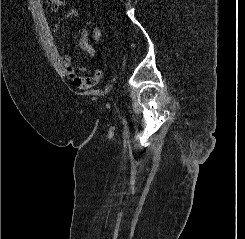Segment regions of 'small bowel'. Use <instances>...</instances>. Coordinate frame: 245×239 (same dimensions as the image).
Returning a JSON list of instances; mask_svg holds the SVG:
<instances>
[{"instance_id":"1","label":"small bowel","mask_w":245,"mask_h":239,"mask_svg":"<svg viewBox=\"0 0 245 239\" xmlns=\"http://www.w3.org/2000/svg\"><path fill=\"white\" fill-rule=\"evenodd\" d=\"M51 4V11L56 13L60 8L65 6L64 0H54ZM79 10L71 8L67 11L66 17L69 19H76L79 17ZM58 28V24L53 26L54 31ZM80 47L92 58L96 56V50L92 43L89 41L88 36L83 33L79 42ZM61 61L65 67L66 74L74 83V85L80 89H88L95 86L104 76V70L101 67L96 68L90 75L79 73L76 69L73 59L67 54L61 55Z\"/></svg>"}]
</instances>
